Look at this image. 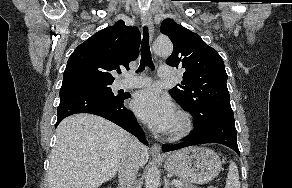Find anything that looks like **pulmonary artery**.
I'll list each match as a JSON object with an SVG mask.
<instances>
[{"instance_id": "e3ab8cb5", "label": "pulmonary artery", "mask_w": 292, "mask_h": 188, "mask_svg": "<svg viewBox=\"0 0 292 188\" xmlns=\"http://www.w3.org/2000/svg\"><path fill=\"white\" fill-rule=\"evenodd\" d=\"M158 76L162 79H171L174 77V73L171 67L161 66L158 69ZM151 78L147 76H137L127 74L123 79L118 82V87L122 89L138 88L150 85Z\"/></svg>"}]
</instances>
